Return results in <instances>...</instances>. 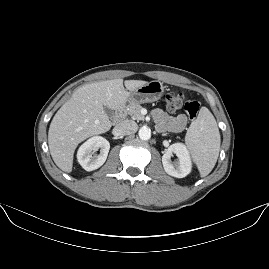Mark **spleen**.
<instances>
[{
  "label": "spleen",
  "mask_w": 269,
  "mask_h": 269,
  "mask_svg": "<svg viewBox=\"0 0 269 269\" xmlns=\"http://www.w3.org/2000/svg\"><path fill=\"white\" fill-rule=\"evenodd\" d=\"M190 148L201 176L208 175L219 155L220 134L217 123L206 107H202L198 117L191 123L186 134Z\"/></svg>",
  "instance_id": "3e777b00"
}]
</instances>
